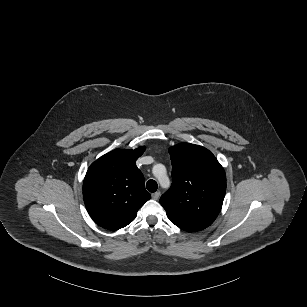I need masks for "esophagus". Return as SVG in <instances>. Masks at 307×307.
Instances as JSON below:
<instances>
[{
    "mask_svg": "<svg viewBox=\"0 0 307 307\" xmlns=\"http://www.w3.org/2000/svg\"><path fill=\"white\" fill-rule=\"evenodd\" d=\"M160 195H161V192L160 191H156V192L152 193V198L154 200H157L160 197Z\"/></svg>",
    "mask_w": 307,
    "mask_h": 307,
    "instance_id": "34e87169",
    "label": "esophagus"
}]
</instances>
